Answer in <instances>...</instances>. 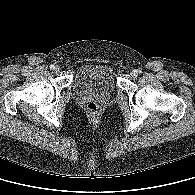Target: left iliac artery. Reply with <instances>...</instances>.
<instances>
[{"mask_svg":"<svg viewBox=\"0 0 195 195\" xmlns=\"http://www.w3.org/2000/svg\"><path fill=\"white\" fill-rule=\"evenodd\" d=\"M136 71V73H139V72H141L140 70H135Z\"/></svg>","mask_w":195,"mask_h":195,"instance_id":"obj_1","label":"left iliac artery"}]
</instances>
